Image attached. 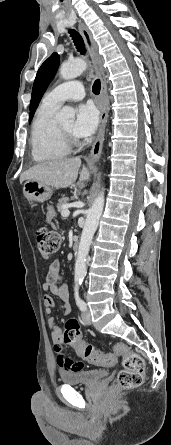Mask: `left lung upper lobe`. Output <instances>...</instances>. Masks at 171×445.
I'll list each match as a JSON object with an SVG mask.
<instances>
[{
  "instance_id": "5c2ea615",
  "label": "left lung upper lobe",
  "mask_w": 171,
  "mask_h": 445,
  "mask_svg": "<svg viewBox=\"0 0 171 445\" xmlns=\"http://www.w3.org/2000/svg\"><path fill=\"white\" fill-rule=\"evenodd\" d=\"M59 62V55L57 53H53L39 68L33 84L29 122L32 120L34 112L49 83L54 78Z\"/></svg>"
}]
</instances>
